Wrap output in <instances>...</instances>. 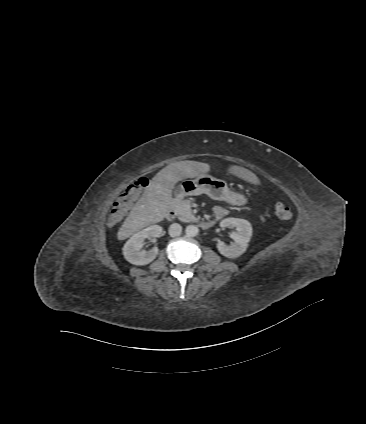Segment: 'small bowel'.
Wrapping results in <instances>:
<instances>
[{
	"instance_id": "obj_1",
	"label": "small bowel",
	"mask_w": 366,
	"mask_h": 424,
	"mask_svg": "<svg viewBox=\"0 0 366 424\" xmlns=\"http://www.w3.org/2000/svg\"><path fill=\"white\" fill-rule=\"evenodd\" d=\"M227 215V210L222 206L214 207V216L216 219H221ZM260 219L264 221V216L262 214L259 215Z\"/></svg>"
}]
</instances>
